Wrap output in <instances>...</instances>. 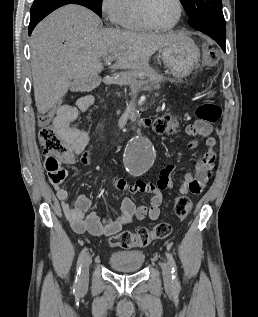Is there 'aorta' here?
I'll list each match as a JSON object with an SVG mask.
<instances>
[{
  "label": "aorta",
  "mask_w": 258,
  "mask_h": 317,
  "mask_svg": "<svg viewBox=\"0 0 258 317\" xmlns=\"http://www.w3.org/2000/svg\"><path fill=\"white\" fill-rule=\"evenodd\" d=\"M153 161L154 149L150 140L143 136L134 137L124 155L126 170L134 176H139L150 169Z\"/></svg>",
  "instance_id": "aorta-1"
}]
</instances>
